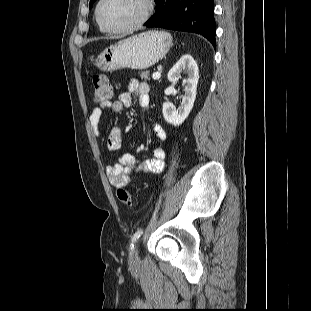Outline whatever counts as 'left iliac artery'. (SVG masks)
<instances>
[{
    "label": "left iliac artery",
    "instance_id": "left-iliac-artery-1",
    "mask_svg": "<svg viewBox=\"0 0 311 311\" xmlns=\"http://www.w3.org/2000/svg\"><path fill=\"white\" fill-rule=\"evenodd\" d=\"M143 230L139 229L135 232V234L133 235L132 239H131V244H130V249L132 250L134 248V243L139 239V237L142 235Z\"/></svg>",
    "mask_w": 311,
    "mask_h": 311
}]
</instances>
